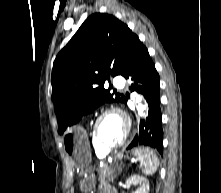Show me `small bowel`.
Wrapping results in <instances>:
<instances>
[{"label":"small bowel","mask_w":221,"mask_h":193,"mask_svg":"<svg viewBox=\"0 0 221 193\" xmlns=\"http://www.w3.org/2000/svg\"><path fill=\"white\" fill-rule=\"evenodd\" d=\"M101 193H117V191L112 188H106Z\"/></svg>","instance_id":"c3829d8e"}]
</instances>
